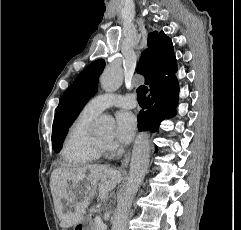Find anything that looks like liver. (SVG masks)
Segmentation results:
<instances>
[{
	"label": "liver",
	"instance_id": "obj_1",
	"mask_svg": "<svg viewBox=\"0 0 241 230\" xmlns=\"http://www.w3.org/2000/svg\"><path fill=\"white\" fill-rule=\"evenodd\" d=\"M121 180L120 171L106 165L54 170L51 174V192L60 226L66 229L80 223L97 187L100 196L104 197ZM73 190L77 193L74 194ZM63 200L70 204V210L66 209Z\"/></svg>",
	"mask_w": 241,
	"mask_h": 230
}]
</instances>
